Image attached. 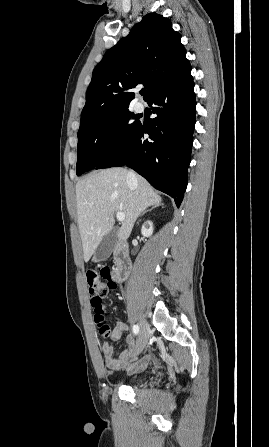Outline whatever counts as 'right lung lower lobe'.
Listing matches in <instances>:
<instances>
[{
	"mask_svg": "<svg viewBox=\"0 0 269 447\" xmlns=\"http://www.w3.org/2000/svg\"><path fill=\"white\" fill-rule=\"evenodd\" d=\"M190 63L160 84L146 100L157 117L139 125L125 143L95 169L126 165L180 206L187 186L196 101ZM144 133L149 138H144Z\"/></svg>",
	"mask_w": 269,
	"mask_h": 447,
	"instance_id": "98d812e1",
	"label": "right lung lower lobe"
}]
</instances>
